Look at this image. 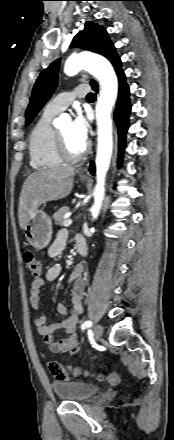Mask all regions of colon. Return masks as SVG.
I'll list each match as a JSON object with an SVG mask.
<instances>
[{
	"instance_id": "obj_1",
	"label": "colon",
	"mask_w": 174,
	"mask_h": 440,
	"mask_svg": "<svg viewBox=\"0 0 174 440\" xmlns=\"http://www.w3.org/2000/svg\"><path fill=\"white\" fill-rule=\"evenodd\" d=\"M24 261L26 263L27 269L29 270L30 274L38 278L42 274V267L41 264L36 260L34 254L27 250L24 253ZM70 370H72L75 374H82L83 371L77 368L69 367ZM85 373V372H84ZM100 380L107 381L111 384H117L119 382V376L116 372H111L107 375H99L98 376Z\"/></svg>"
}]
</instances>
